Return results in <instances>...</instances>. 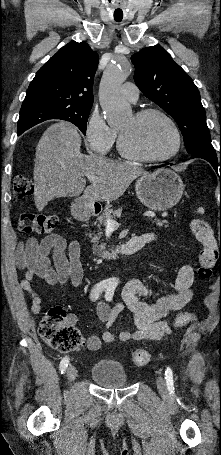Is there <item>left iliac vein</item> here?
<instances>
[{
    "mask_svg": "<svg viewBox=\"0 0 221 455\" xmlns=\"http://www.w3.org/2000/svg\"><path fill=\"white\" fill-rule=\"evenodd\" d=\"M156 385L159 392L164 393L166 391V383L162 376H158L156 379Z\"/></svg>",
    "mask_w": 221,
    "mask_h": 455,
    "instance_id": "1",
    "label": "left iliac vein"
}]
</instances>
